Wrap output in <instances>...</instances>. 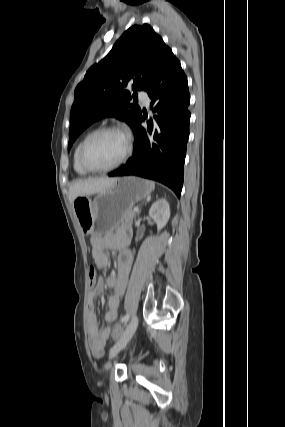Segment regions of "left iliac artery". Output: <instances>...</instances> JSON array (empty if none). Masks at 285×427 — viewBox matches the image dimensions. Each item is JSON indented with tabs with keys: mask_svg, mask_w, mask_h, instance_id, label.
Wrapping results in <instances>:
<instances>
[{
	"mask_svg": "<svg viewBox=\"0 0 285 427\" xmlns=\"http://www.w3.org/2000/svg\"><path fill=\"white\" fill-rule=\"evenodd\" d=\"M129 317H130V314H129V313H127L126 315H124V316L121 318V322H122V323H126V322L129 320Z\"/></svg>",
	"mask_w": 285,
	"mask_h": 427,
	"instance_id": "obj_1",
	"label": "left iliac artery"
}]
</instances>
